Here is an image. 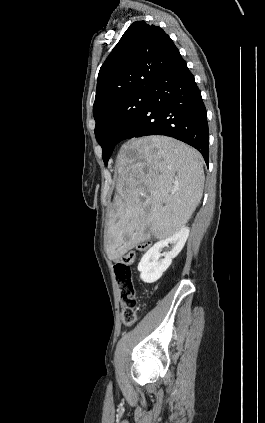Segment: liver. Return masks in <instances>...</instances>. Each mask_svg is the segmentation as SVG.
I'll list each match as a JSON object with an SVG mask.
<instances>
[{"mask_svg": "<svg viewBox=\"0 0 265 423\" xmlns=\"http://www.w3.org/2000/svg\"><path fill=\"white\" fill-rule=\"evenodd\" d=\"M203 164L196 149L167 136L133 138L122 145L104 241L110 260L150 235L166 239L185 227L203 195Z\"/></svg>", "mask_w": 265, "mask_h": 423, "instance_id": "6515ba94", "label": "liver"}]
</instances>
